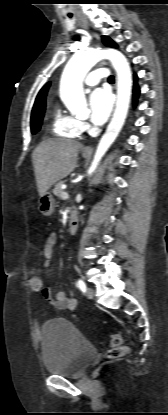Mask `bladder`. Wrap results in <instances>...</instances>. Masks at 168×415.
Segmentation results:
<instances>
[{"label":"bladder","instance_id":"obj_1","mask_svg":"<svg viewBox=\"0 0 168 415\" xmlns=\"http://www.w3.org/2000/svg\"><path fill=\"white\" fill-rule=\"evenodd\" d=\"M41 346L45 369L51 375L79 377L97 356L96 348L63 318L44 322Z\"/></svg>","mask_w":168,"mask_h":415}]
</instances>
